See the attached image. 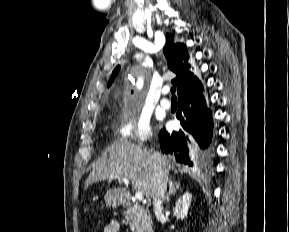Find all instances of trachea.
<instances>
[{
	"label": "trachea",
	"instance_id": "trachea-1",
	"mask_svg": "<svg viewBox=\"0 0 289 232\" xmlns=\"http://www.w3.org/2000/svg\"><path fill=\"white\" fill-rule=\"evenodd\" d=\"M175 92H176V87L174 86V87L171 88V93H172V98L173 99L176 98Z\"/></svg>",
	"mask_w": 289,
	"mask_h": 232
}]
</instances>
